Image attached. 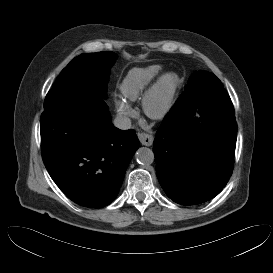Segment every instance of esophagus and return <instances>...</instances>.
<instances>
[{
  "label": "esophagus",
  "instance_id": "34e87169",
  "mask_svg": "<svg viewBox=\"0 0 273 273\" xmlns=\"http://www.w3.org/2000/svg\"><path fill=\"white\" fill-rule=\"evenodd\" d=\"M138 138L142 145L144 146H151L153 143V135L145 132H141L138 134Z\"/></svg>",
  "mask_w": 273,
  "mask_h": 273
}]
</instances>
